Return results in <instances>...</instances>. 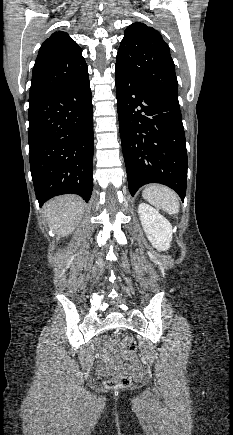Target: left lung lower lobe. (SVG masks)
<instances>
[{
  "instance_id": "left-lung-lower-lobe-1",
  "label": "left lung lower lobe",
  "mask_w": 233,
  "mask_h": 435,
  "mask_svg": "<svg viewBox=\"0 0 233 435\" xmlns=\"http://www.w3.org/2000/svg\"><path fill=\"white\" fill-rule=\"evenodd\" d=\"M122 151L132 196L148 183H161L184 200L187 151L178 98L141 86L115 66Z\"/></svg>"
}]
</instances>
